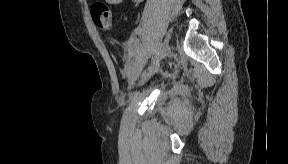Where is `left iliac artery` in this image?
Masks as SVG:
<instances>
[{
    "mask_svg": "<svg viewBox=\"0 0 288 164\" xmlns=\"http://www.w3.org/2000/svg\"><path fill=\"white\" fill-rule=\"evenodd\" d=\"M133 65H134V67H135V66L137 65V62H134Z\"/></svg>",
    "mask_w": 288,
    "mask_h": 164,
    "instance_id": "obj_1",
    "label": "left iliac artery"
}]
</instances>
